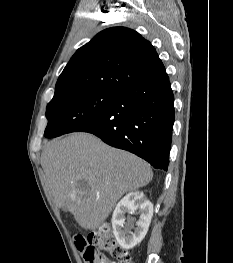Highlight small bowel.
<instances>
[{"mask_svg": "<svg viewBox=\"0 0 233 263\" xmlns=\"http://www.w3.org/2000/svg\"><path fill=\"white\" fill-rule=\"evenodd\" d=\"M107 263H115L114 261H110V260H108V262Z\"/></svg>", "mask_w": 233, "mask_h": 263, "instance_id": "c3829d8e", "label": "small bowel"}]
</instances>
